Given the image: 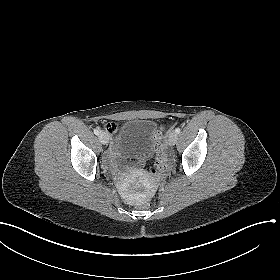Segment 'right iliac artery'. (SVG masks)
<instances>
[{
    "mask_svg": "<svg viewBox=\"0 0 280 280\" xmlns=\"http://www.w3.org/2000/svg\"><path fill=\"white\" fill-rule=\"evenodd\" d=\"M94 133L96 134V135H99L100 134V131H99V129H94Z\"/></svg>",
    "mask_w": 280,
    "mask_h": 280,
    "instance_id": "obj_1",
    "label": "right iliac artery"
}]
</instances>
